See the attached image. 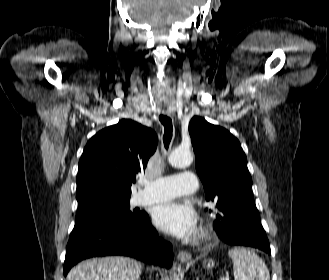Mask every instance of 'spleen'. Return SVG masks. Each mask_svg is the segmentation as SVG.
Instances as JSON below:
<instances>
[{
	"mask_svg": "<svg viewBox=\"0 0 329 280\" xmlns=\"http://www.w3.org/2000/svg\"><path fill=\"white\" fill-rule=\"evenodd\" d=\"M228 255L233 261L235 280H270L266 264L252 250L235 247L228 251Z\"/></svg>",
	"mask_w": 329,
	"mask_h": 280,
	"instance_id": "obj_1",
	"label": "spleen"
}]
</instances>
